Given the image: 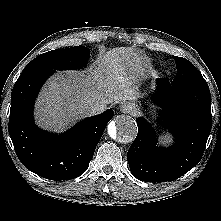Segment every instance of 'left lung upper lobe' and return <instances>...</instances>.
Returning a JSON list of instances; mask_svg holds the SVG:
<instances>
[{
	"instance_id": "5c2ea615",
	"label": "left lung upper lobe",
	"mask_w": 221,
	"mask_h": 221,
	"mask_svg": "<svg viewBox=\"0 0 221 221\" xmlns=\"http://www.w3.org/2000/svg\"><path fill=\"white\" fill-rule=\"evenodd\" d=\"M177 64V75L171 82L172 85L206 82L201 73L188 60L173 56Z\"/></svg>"
}]
</instances>
